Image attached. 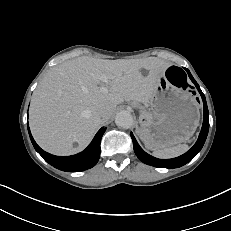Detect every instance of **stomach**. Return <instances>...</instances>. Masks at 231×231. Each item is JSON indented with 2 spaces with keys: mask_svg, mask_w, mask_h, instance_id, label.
<instances>
[{
  "mask_svg": "<svg viewBox=\"0 0 231 231\" xmlns=\"http://www.w3.org/2000/svg\"><path fill=\"white\" fill-rule=\"evenodd\" d=\"M149 108L140 107V135L147 148L157 150L186 142L200 120V105L186 88L160 75Z\"/></svg>",
  "mask_w": 231,
  "mask_h": 231,
  "instance_id": "1",
  "label": "stomach"
}]
</instances>
